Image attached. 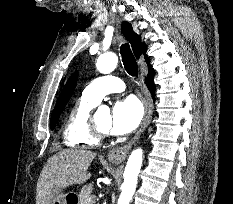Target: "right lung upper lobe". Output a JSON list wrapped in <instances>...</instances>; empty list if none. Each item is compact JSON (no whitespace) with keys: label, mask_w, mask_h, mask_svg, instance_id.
Here are the masks:
<instances>
[{"label":"right lung upper lobe","mask_w":233,"mask_h":204,"mask_svg":"<svg viewBox=\"0 0 233 204\" xmlns=\"http://www.w3.org/2000/svg\"><path fill=\"white\" fill-rule=\"evenodd\" d=\"M122 32L126 39L130 42L136 58L138 59L140 58L141 54H144L145 59L148 63V68H150V64L146 56V46L144 43H141L140 36L133 30L132 25L129 22H123Z\"/></svg>","instance_id":"right-lung-upper-lobe-1"}]
</instances>
